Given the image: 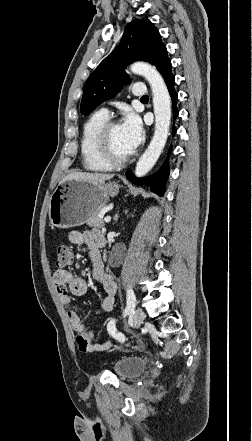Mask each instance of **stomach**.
Wrapping results in <instances>:
<instances>
[{"mask_svg": "<svg viewBox=\"0 0 252 441\" xmlns=\"http://www.w3.org/2000/svg\"><path fill=\"white\" fill-rule=\"evenodd\" d=\"M116 182L93 183L68 180L60 184L50 198L48 217L52 226L70 228L82 225L118 194Z\"/></svg>", "mask_w": 252, "mask_h": 441, "instance_id": "0dacf381", "label": "stomach"}]
</instances>
